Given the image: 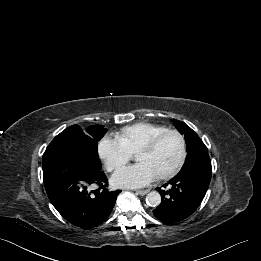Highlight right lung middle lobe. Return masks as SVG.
Instances as JSON below:
<instances>
[{
	"label": "right lung middle lobe",
	"instance_id": "dd1d6c3e",
	"mask_svg": "<svg viewBox=\"0 0 261 261\" xmlns=\"http://www.w3.org/2000/svg\"><path fill=\"white\" fill-rule=\"evenodd\" d=\"M106 129L103 125H93L86 132L79 126H70L58 134L47 147L43 155V168L49 170L57 165L64 164L70 157L75 140L83 144L88 160L101 167L98 157L97 142L104 136Z\"/></svg>",
	"mask_w": 261,
	"mask_h": 261
}]
</instances>
